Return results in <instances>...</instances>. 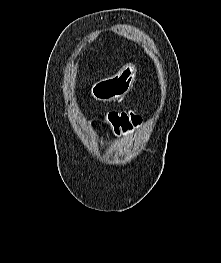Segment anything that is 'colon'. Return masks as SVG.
<instances>
[{
	"mask_svg": "<svg viewBox=\"0 0 221 263\" xmlns=\"http://www.w3.org/2000/svg\"><path fill=\"white\" fill-rule=\"evenodd\" d=\"M107 121L114 127L116 134L127 133L141 122L140 114L132 110H113L107 113Z\"/></svg>",
	"mask_w": 221,
	"mask_h": 263,
	"instance_id": "colon-1",
	"label": "colon"
}]
</instances>
